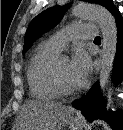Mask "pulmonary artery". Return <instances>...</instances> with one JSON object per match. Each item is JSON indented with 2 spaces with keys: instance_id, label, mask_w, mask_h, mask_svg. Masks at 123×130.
Here are the masks:
<instances>
[{
  "instance_id": "obj_1",
  "label": "pulmonary artery",
  "mask_w": 123,
  "mask_h": 130,
  "mask_svg": "<svg viewBox=\"0 0 123 130\" xmlns=\"http://www.w3.org/2000/svg\"><path fill=\"white\" fill-rule=\"evenodd\" d=\"M97 35L98 30L94 24H72L53 34L45 42L53 49L60 52L71 40L77 38L94 39Z\"/></svg>"
}]
</instances>
